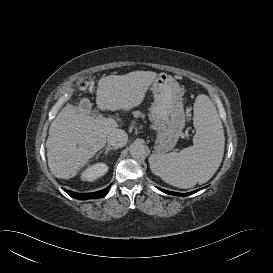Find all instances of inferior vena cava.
Masks as SVG:
<instances>
[{"instance_id": "1", "label": "inferior vena cava", "mask_w": 273, "mask_h": 273, "mask_svg": "<svg viewBox=\"0 0 273 273\" xmlns=\"http://www.w3.org/2000/svg\"><path fill=\"white\" fill-rule=\"evenodd\" d=\"M128 135L121 129L112 130L107 136V142L116 148L123 147L127 144Z\"/></svg>"}]
</instances>
